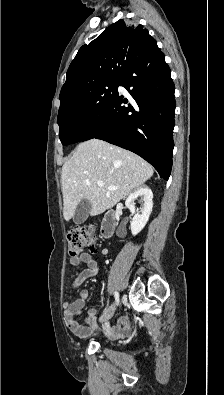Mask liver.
I'll list each match as a JSON object with an SVG mask.
<instances>
[{"instance_id":"obj_1","label":"liver","mask_w":224,"mask_h":395,"mask_svg":"<svg viewBox=\"0 0 224 395\" xmlns=\"http://www.w3.org/2000/svg\"><path fill=\"white\" fill-rule=\"evenodd\" d=\"M152 166L138 155L99 139L80 143L62 167L64 218L68 222L82 199L91 203V215L114 207L152 177ZM104 183L103 187L97 185ZM118 187L109 190L108 187Z\"/></svg>"}]
</instances>
